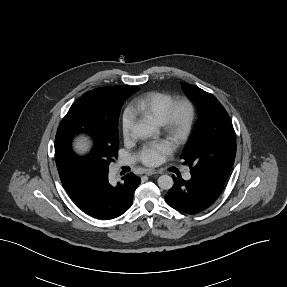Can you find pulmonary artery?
I'll return each instance as SVG.
<instances>
[{
	"label": "pulmonary artery",
	"mask_w": 287,
	"mask_h": 287,
	"mask_svg": "<svg viewBox=\"0 0 287 287\" xmlns=\"http://www.w3.org/2000/svg\"><path fill=\"white\" fill-rule=\"evenodd\" d=\"M132 162L131 159H125L120 161V165H127L130 164ZM184 179L189 180L191 178V173L189 170H186L183 174Z\"/></svg>",
	"instance_id": "obj_1"
}]
</instances>
